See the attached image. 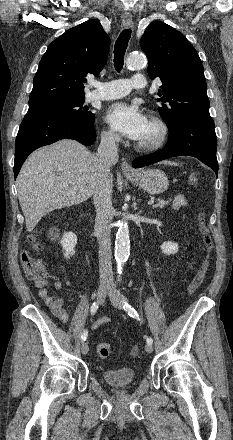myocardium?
Listing matches in <instances>:
<instances>
[{"label":"myocardium","instance_id":"myocardium-1","mask_svg":"<svg viewBox=\"0 0 233 440\" xmlns=\"http://www.w3.org/2000/svg\"><path fill=\"white\" fill-rule=\"evenodd\" d=\"M149 123L157 129V135L150 141L139 140L136 143V147L145 152L156 151L161 148L168 139L169 127L167 123L158 115H150Z\"/></svg>","mask_w":233,"mask_h":440}]
</instances>
